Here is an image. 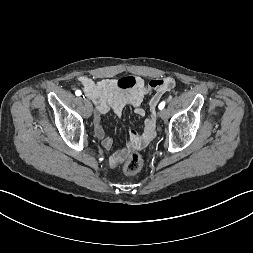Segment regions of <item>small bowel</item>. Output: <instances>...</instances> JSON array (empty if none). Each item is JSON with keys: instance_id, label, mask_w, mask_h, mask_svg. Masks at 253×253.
<instances>
[{"instance_id": "1", "label": "small bowel", "mask_w": 253, "mask_h": 253, "mask_svg": "<svg viewBox=\"0 0 253 253\" xmlns=\"http://www.w3.org/2000/svg\"><path fill=\"white\" fill-rule=\"evenodd\" d=\"M78 81L86 96L95 105L94 131L107 150L112 148L113 140L106 134L102 126V114L111 111L120 116L125 107L131 106L138 116L144 117L147 113L143 107L144 98L153 94L143 131L141 133L129 132L125 146L114 151L109 157L112 167L121 164L130 151L145 147L154 138L156 134L155 105L165 92L175 86V80L171 77L153 79L148 83L137 76L125 77L121 80L106 78L97 82L87 76H80Z\"/></svg>"}]
</instances>
